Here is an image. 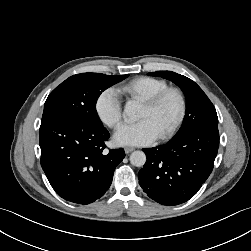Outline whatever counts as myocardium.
Segmentation results:
<instances>
[{"label": "myocardium", "mask_w": 251, "mask_h": 251, "mask_svg": "<svg viewBox=\"0 0 251 251\" xmlns=\"http://www.w3.org/2000/svg\"><path fill=\"white\" fill-rule=\"evenodd\" d=\"M168 95H174L177 98L178 112H177V115H176L174 121L168 127V129L158 136L159 140L169 139L170 137H172L176 133L178 128L181 126V124L184 120V117H185V113H186L185 95H184L183 91L178 87H166L142 102V104L144 106H146L150 109H153L156 106H158L161 103V101L165 97H167Z\"/></svg>", "instance_id": "f54148a6"}]
</instances>
